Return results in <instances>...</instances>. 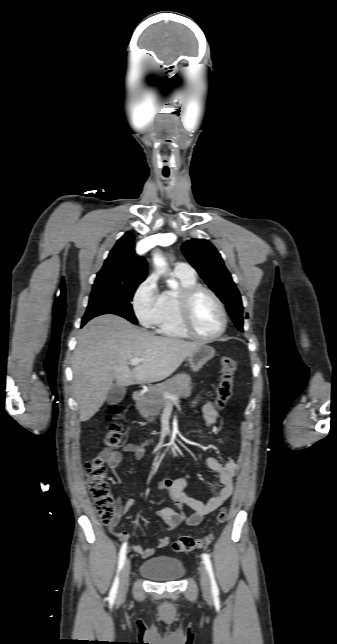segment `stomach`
<instances>
[{"instance_id":"obj_1","label":"stomach","mask_w":337,"mask_h":644,"mask_svg":"<svg viewBox=\"0 0 337 644\" xmlns=\"http://www.w3.org/2000/svg\"><path fill=\"white\" fill-rule=\"evenodd\" d=\"M215 355L211 346L202 344L195 352L188 356V362L193 371L200 370Z\"/></svg>"}]
</instances>
